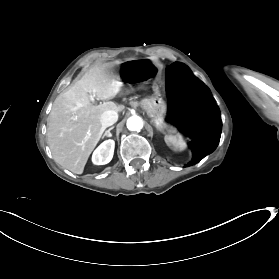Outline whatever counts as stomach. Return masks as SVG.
Segmentation results:
<instances>
[{
    "mask_svg": "<svg viewBox=\"0 0 279 279\" xmlns=\"http://www.w3.org/2000/svg\"><path fill=\"white\" fill-rule=\"evenodd\" d=\"M149 115L155 126L161 127L165 132H174L179 127V118L170 107V103L163 97H154L149 102Z\"/></svg>",
    "mask_w": 279,
    "mask_h": 279,
    "instance_id": "obj_1",
    "label": "stomach"
}]
</instances>
